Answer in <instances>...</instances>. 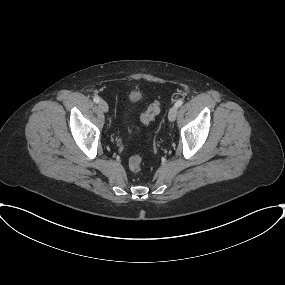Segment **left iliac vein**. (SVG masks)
<instances>
[{"label":"left iliac vein","instance_id":"1","mask_svg":"<svg viewBox=\"0 0 285 285\" xmlns=\"http://www.w3.org/2000/svg\"><path fill=\"white\" fill-rule=\"evenodd\" d=\"M177 110H178V108H177L176 106H173V107L169 110V113H168V119H169V121H171V122L175 121L176 116H177Z\"/></svg>","mask_w":285,"mask_h":285}]
</instances>
